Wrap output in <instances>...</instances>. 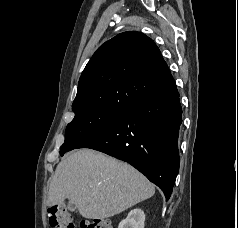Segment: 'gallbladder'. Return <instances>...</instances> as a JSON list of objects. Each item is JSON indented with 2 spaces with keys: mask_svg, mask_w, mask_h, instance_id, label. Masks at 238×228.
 Listing matches in <instances>:
<instances>
[{
  "mask_svg": "<svg viewBox=\"0 0 238 228\" xmlns=\"http://www.w3.org/2000/svg\"><path fill=\"white\" fill-rule=\"evenodd\" d=\"M68 208H69L70 211H75L76 210V206L74 204H70L68 206Z\"/></svg>",
  "mask_w": 238,
  "mask_h": 228,
  "instance_id": "obj_1",
  "label": "gallbladder"
}]
</instances>
